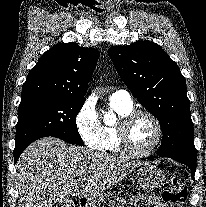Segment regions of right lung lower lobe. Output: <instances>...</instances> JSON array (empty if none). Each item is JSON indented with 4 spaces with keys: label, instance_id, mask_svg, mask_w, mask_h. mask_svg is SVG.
<instances>
[{
    "label": "right lung lower lobe",
    "instance_id": "1",
    "mask_svg": "<svg viewBox=\"0 0 206 207\" xmlns=\"http://www.w3.org/2000/svg\"><path fill=\"white\" fill-rule=\"evenodd\" d=\"M26 148V147H25ZM25 148H21V149H14V161L15 163L17 162L19 156L21 155V153L23 152V150Z\"/></svg>",
    "mask_w": 206,
    "mask_h": 207
}]
</instances>
